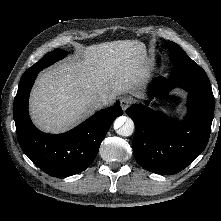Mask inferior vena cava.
Returning a JSON list of instances; mask_svg holds the SVG:
<instances>
[{"label":"inferior vena cava","instance_id":"inferior-vena-cava-1","mask_svg":"<svg viewBox=\"0 0 221 221\" xmlns=\"http://www.w3.org/2000/svg\"><path fill=\"white\" fill-rule=\"evenodd\" d=\"M113 102H114L113 98H108V97L103 96V97L96 99L95 105L97 108H101L104 106H108V105L112 104Z\"/></svg>","mask_w":221,"mask_h":221}]
</instances>
